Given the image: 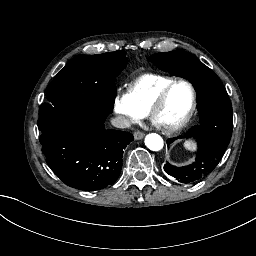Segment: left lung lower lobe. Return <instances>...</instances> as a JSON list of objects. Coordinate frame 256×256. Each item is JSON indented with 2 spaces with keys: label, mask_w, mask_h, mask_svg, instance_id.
Segmentation results:
<instances>
[{
  "label": "left lung lower lobe",
  "mask_w": 256,
  "mask_h": 256,
  "mask_svg": "<svg viewBox=\"0 0 256 256\" xmlns=\"http://www.w3.org/2000/svg\"><path fill=\"white\" fill-rule=\"evenodd\" d=\"M168 174L175 177L178 181H180L182 183H195L204 177V176L175 174V173H170V172H168Z\"/></svg>",
  "instance_id": "1"
}]
</instances>
